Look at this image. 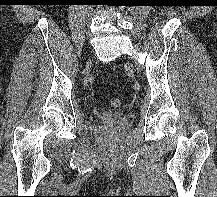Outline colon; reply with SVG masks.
<instances>
[{
  "mask_svg": "<svg viewBox=\"0 0 217 197\" xmlns=\"http://www.w3.org/2000/svg\"><path fill=\"white\" fill-rule=\"evenodd\" d=\"M110 105H111L112 107H114V108H117V107H119V106L121 105V101H120L119 99H117V98L112 99V100L110 101Z\"/></svg>",
  "mask_w": 217,
  "mask_h": 197,
  "instance_id": "obj_1",
  "label": "colon"
}]
</instances>
